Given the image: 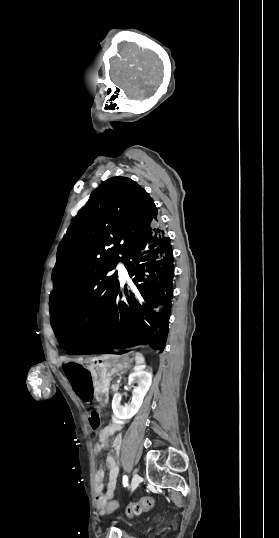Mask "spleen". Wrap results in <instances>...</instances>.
<instances>
[{"label": "spleen", "instance_id": "obj_1", "mask_svg": "<svg viewBox=\"0 0 279 538\" xmlns=\"http://www.w3.org/2000/svg\"><path fill=\"white\" fill-rule=\"evenodd\" d=\"M135 362H136V366H142V364H145V358L143 354H139V352H136Z\"/></svg>", "mask_w": 279, "mask_h": 538}]
</instances>
